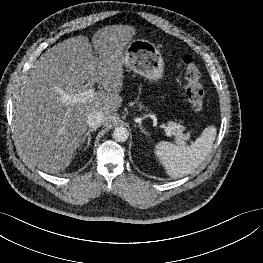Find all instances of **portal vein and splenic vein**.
<instances>
[{"instance_id": "18ae733b", "label": "portal vein and splenic vein", "mask_w": 263, "mask_h": 263, "mask_svg": "<svg viewBox=\"0 0 263 263\" xmlns=\"http://www.w3.org/2000/svg\"><path fill=\"white\" fill-rule=\"evenodd\" d=\"M94 94H95V91L93 88H89L84 92H80L74 95H68V94L62 93V100L66 105H73V104H77V103L86 101L87 99L93 97ZM161 128L164 129V131L166 132L168 136H171L169 127L165 125H161Z\"/></svg>"}]
</instances>
